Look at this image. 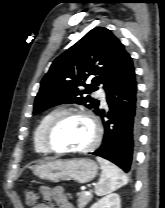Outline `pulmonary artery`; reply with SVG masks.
<instances>
[{
	"mask_svg": "<svg viewBox=\"0 0 165 208\" xmlns=\"http://www.w3.org/2000/svg\"><path fill=\"white\" fill-rule=\"evenodd\" d=\"M96 95L99 97L101 103L103 105L106 104V98H105V92L103 89H99L97 92H96Z\"/></svg>",
	"mask_w": 165,
	"mask_h": 208,
	"instance_id": "1",
	"label": "pulmonary artery"
}]
</instances>
